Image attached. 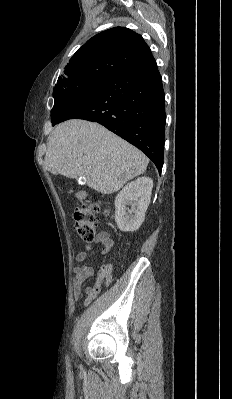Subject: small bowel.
Listing matches in <instances>:
<instances>
[{
  "label": "small bowel",
  "mask_w": 232,
  "mask_h": 399,
  "mask_svg": "<svg viewBox=\"0 0 232 399\" xmlns=\"http://www.w3.org/2000/svg\"><path fill=\"white\" fill-rule=\"evenodd\" d=\"M111 247H112L111 242H105L100 249V254H106ZM89 252H90V244H87L86 248L80 251L77 256V261L79 265L74 269L73 295H72L74 301L80 298L82 285L84 284V282L86 281V279L90 274L89 267L85 265L89 257ZM92 297H93V287L88 286L86 288V299L84 301V305H87L91 301Z\"/></svg>",
  "instance_id": "obj_1"
}]
</instances>
